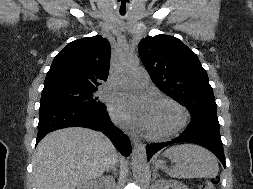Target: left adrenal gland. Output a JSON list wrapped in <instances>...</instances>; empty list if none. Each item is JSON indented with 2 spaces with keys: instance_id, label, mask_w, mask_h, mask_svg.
I'll return each mask as SVG.
<instances>
[{
  "instance_id": "a2214340",
  "label": "left adrenal gland",
  "mask_w": 253,
  "mask_h": 189,
  "mask_svg": "<svg viewBox=\"0 0 253 189\" xmlns=\"http://www.w3.org/2000/svg\"><path fill=\"white\" fill-rule=\"evenodd\" d=\"M158 176V173L156 170H154V174H153V177L156 178Z\"/></svg>"
}]
</instances>
